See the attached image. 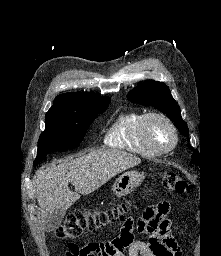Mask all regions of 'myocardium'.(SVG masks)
Returning a JSON list of instances; mask_svg holds the SVG:
<instances>
[{
  "label": "myocardium",
  "instance_id": "f54148a6",
  "mask_svg": "<svg viewBox=\"0 0 221 256\" xmlns=\"http://www.w3.org/2000/svg\"><path fill=\"white\" fill-rule=\"evenodd\" d=\"M152 119H160L164 123L167 124V126L170 128L172 135H173V141L172 143L166 147V148H159L153 144V142L150 140L148 136V124ZM139 137L141 141L150 148L155 154H165L173 150L177 143H178V132L176 129V126L171 121L170 118H168L166 115L160 112H149L143 115L140 127H139Z\"/></svg>",
  "mask_w": 221,
  "mask_h": 256
}]
</instances>
